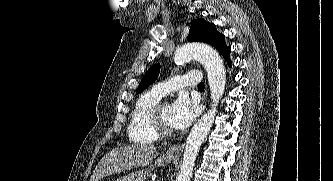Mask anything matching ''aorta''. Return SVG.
I'll list each match as a JSON object with an SVG mask.
<instances>
[{
    "instance_id": "762f6f07",
    "label": "aorta",
    "mask_w": 333,
    "mask_h": 181,
    "mask_svg": "<svg viewBox=\"0 0 333 181\" xmlns=\"http://www.w3.org/2000/svg\"><path fill=\"white\" fill-rule=\"evenodd\" d=\"M191 59H196L206 69L212 107L196 122L189 133L182 166L176 181H190L199 148L213 125L216 107L222 98L226 84V72L223 61L212 47L197 43L187 44L175 52V63H185Z\"/></svg>"
}]
</instances>
